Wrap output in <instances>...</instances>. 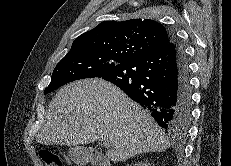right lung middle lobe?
I'll return each instance as SVG.
<instances>
[{"mask_svg": "<svg viewBox=\"0 0 231 166\" xmlns=\"http://www.w3.org/2000/svg\"><path fill=\"white\" fill-rule=\"evenodd\" d=\"M124 62V58L88 49L68 53L55 67L44 94L75 80L98 77Z\"/></svg>", "mask_w": 231, "mask_h": 166, "instance_id": "dd1d6c3e", "label": "right lung middle lobe"}]
</instances>
